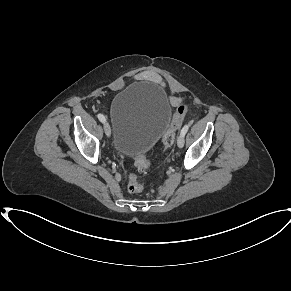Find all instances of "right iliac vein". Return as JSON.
<instances>
[{
  "label": "right iliac vein",
  "instance_id": "right-iliac-vein-1",
  "mask_svg": "<svg viewBox=\"0 0 291 291\" xmlns=\"http://www.w3.org/2000/svg\"><path fill=\"white\" fill-rule=\"evenodd\" d=\"M103 127H104L105 134H106L108 137H110V136H111V129H110L109 124H108L106 121L104 122Z\"/></svg>",
  "mask_w": 291,
  "mask_h": 291
}]
</instances>
